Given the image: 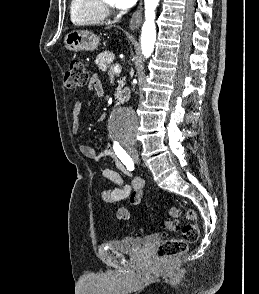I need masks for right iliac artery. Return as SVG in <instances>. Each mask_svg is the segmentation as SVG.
<instances>
[{"label": "right iliac artery", "instance_id": "obj_1", "mask_svg": "<svg viewBox=\"0 0 259 294\" xmlns=\"http://www.w3.org/2000/svg\"><path fill=\"white\" fill-rule=\"evenodd\" d=\"M113 148L115 154L123 162V164L126 165L130 171L134 170V162L127 152L117 142L114 143Z\"/></svg>", "mask_w": 259, "mask_h": 294}]
</instances>
